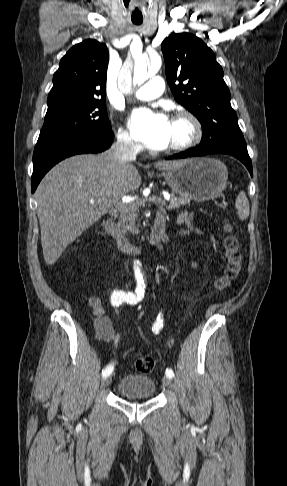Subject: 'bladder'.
Wrapping results in <instances>:
<instances>
[{"label": "bladder", "instance_id": "1", "mask_svg": "<svg viewBox=\"0 0 287 486\" xmlns=\"http://www.w3.org/2000/svg\"><path fill=\"white\" fill-rule=\"evenodd\" d=\"M116 390L129 398H151L156 393V383L149 375L127 374L119 379Z\"/></svg>", "mask_w": 287, "mask_h": 486}]
</instances>
